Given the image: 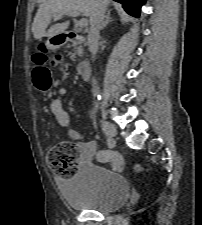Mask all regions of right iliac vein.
<instances>
[{"instance_id":"obj_1","label":"right iliac vein","mask_w":202,"mask_h":225,"mask_svg":"<svg viewBox=\"0 0 202 225\" xmlns=\"http://www.w3.org/2000/svg\"><path fill=\"white\" fill-rule=\"evenodd\" d=\"M102 130L106 134L107 138L112 140L113 144L115 143V137L117 135V130L114 125L107 121H101Z\"/></svg>"}]
</instances>
